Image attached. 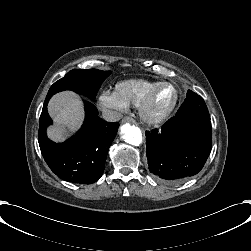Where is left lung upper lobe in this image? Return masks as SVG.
<instances>
[{
    "instance_id": "5c2ea615",
    "label": "left lung upper lobe",
    "mask_w": 251,
    "mask_h": 251,
    "mask_svg": "<svg viewBox=\"0 0 251 251\" xmlns=\"http://www.w3.org/2000/svg\"><path fill=\"white\" fill-rule=\"evenodd\" d=\"M183 113H203L209 115L207 106L201 96L191 90L187 91V96L176 115Z\"/></svg>"
}]
</instances>
